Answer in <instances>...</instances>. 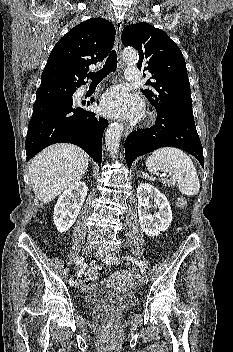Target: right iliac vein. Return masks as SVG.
I'll use <instances>...</instances> for the list:
<instances>
[{
    "label": "right iliac vein",
    "instance_id": "1",
    "mask_svg": "<svg viewBox=\"0 0 233 352\" xmlns=\"http://www.w3.org/2000/svg\"><path fill=\"white\" fill-rule=\"evenodd\" d=\"M92 246L91 245H87L83 248L82 250V254L83 256H88L91 252H92ZM80 286V282L79 281H76L75 282V287L78 288Z\"/></svg>",
    "mask_w": 233,
    "mask_h": 352
}]
</instances>
